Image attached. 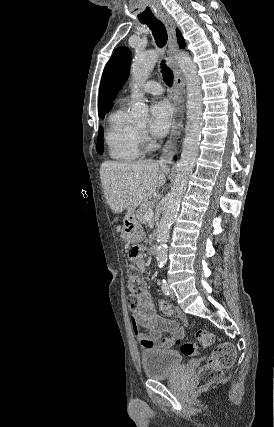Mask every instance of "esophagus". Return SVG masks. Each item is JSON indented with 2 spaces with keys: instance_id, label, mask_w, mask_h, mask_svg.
Segmentation results:
<instances>
[{
  "instance_id": "34e87169",
  "label": "esophagus",
  "mask_w": 274,
  "mask_h": 427,
  "mask_svg": "<svg viewBox=\"0 0 274 427\" xmlns=\"http://www.w3.org/2000/svg\"><path fill=\"white\" fill-rule=\"evenodd\" d=\"M159 18L167 29L169 65L174 73L173 95L171 97L174 107V118L171 133L168 140L165 142L160 160L162 165H167L170 163L171 158L175 153L176 141L183 126L185 77L177 62L178 44L176 40L175 23L173 19L167 14L159 15Z\"/></svg>"
}]
</instances>
